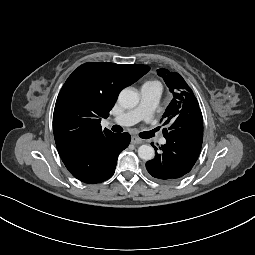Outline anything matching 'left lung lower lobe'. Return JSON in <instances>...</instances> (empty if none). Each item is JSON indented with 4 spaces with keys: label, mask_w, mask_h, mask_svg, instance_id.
Masks as SVG:
<instances>
[{
    "label": "left lung lower lobe",
    "mask_w": 255,
    "mask_h": 255,
    "mask_svg": "<svg viewBox=\"0 0 255 255\" xmlns=\"http://www.w3.org/2000/svg\"><path fill=\"white\" fill-rule=\"evenodd\" d=\"M164 137L166 144L160 151L154 146L156 156L146 163V169L154 179L172 183L186 176L196 163L203 142V121L172 130Z\"/></svg>",
    "instance_id": "left-lung-lower-lobe-1"
}]
</instances>
